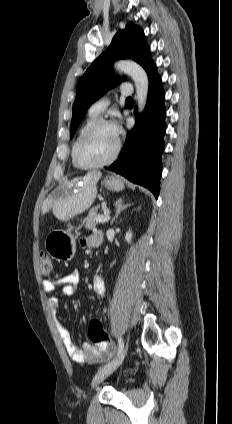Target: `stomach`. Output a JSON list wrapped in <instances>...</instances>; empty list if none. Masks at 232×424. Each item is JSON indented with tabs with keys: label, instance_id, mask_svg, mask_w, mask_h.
Listing matches in <instances>:
<instances>
[{
	"label": "stomach",
	"instance_id": "obj_1",
	"mask_svg": "<svg viewBox=\"0 0 232 424\" xmlns=\"http://www.w3.org/2000/svg\"><path fill=\"white\" fill-rule=\"evenodd\" d=\"M103 185L105 188L116 192L124 189V183L113 176H107L103 181ZM76 239L77 235L74 234L71 228L67 230H54L45 239V249L55 260L69 261L75 254Z\"/></svg>",
	"mask_w": 232,
	"mask_h": 424
}]
</instances>
